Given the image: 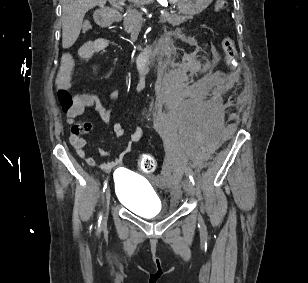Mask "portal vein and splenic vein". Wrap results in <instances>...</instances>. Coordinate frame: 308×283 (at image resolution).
Here are the masks:
<instances>
[{
  "label": "portal vein and splenic vein",
  "mask_w": 308,
  "mask_h": 283,
  "mask_svg": "<svg viewBox=\"0 0 308 283\" xmlns=\"http://www.w3.org/2000/svg\"><path fill=\"white\" fill-rule=\"evenodd\" d=\"M109 1L114 2L115 0H109ZM118 4L123 5V4H124V0H119V1H118ZM164 13H165L164 11H161V14H164Z\"/></svg>",
  "instance_id": "obj_1"
}]
</instances>
